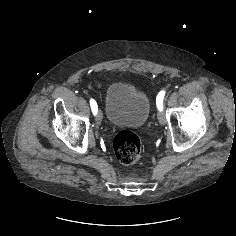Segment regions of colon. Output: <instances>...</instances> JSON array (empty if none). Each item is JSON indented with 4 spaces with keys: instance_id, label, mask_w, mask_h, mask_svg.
<instances>
[{
    "instance_id": "colon-1",
    "label": "colon",
    "mask_w": 236,
    "mask_h": 236,
    "mask_svg": "<svg viewBox=\"0 0 236 236\" xmlns=\"http://www.w3.org/2000/svg\"><path fill=\"white\" fill-rule=\"evenodd\" d=\"M116 158L123 164L130 165L138 161L142 144L139 137L131 131L119 132L113 141Z\"/></svg>"
}]
</instances>
